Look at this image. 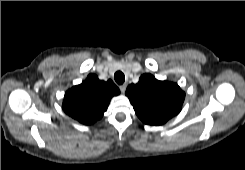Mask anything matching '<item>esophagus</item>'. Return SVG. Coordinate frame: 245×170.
Instances as JSON below:
<instances>
[{
    "label": "esophagus",
    "mask_w": 245,
    "mask_h": 170,
    "mask_svg": "<svg viewBox=\"0 0 245 170\" xmlns=\"http://www.w3.org/2000/svg\"><path fill=\"white\" fill-rule=\"evenodd\" d=\"M126 87H127L126 84H123V85H120L119 86L121 93H124L125 92Z\"/></svg>",
    "instance_id": "esophagus-1"
}]
</instances>
